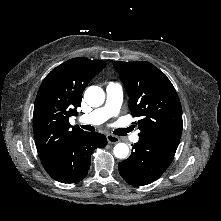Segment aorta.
Listing matches in <instances>:
<instances>
[{
  "instance_id": "aorta-1",
  "label": "aorta",
  "mask_w": 221,
  "mask_h": 221,
  "mask_svg": "<svg viewBox=\"0 0 221 221\" xmlns=\"http://www.w3.org/2000/svg\"><path fill=\"white\" fill-rule=\"evenodd\" d=\"M84 99L92 107L101 106L105 100V94L101 87L90 86L84 93ZM115 157L124 159L129 154V147L125 143H117L113 149Z\"/></svg>"
}]
</instances>
